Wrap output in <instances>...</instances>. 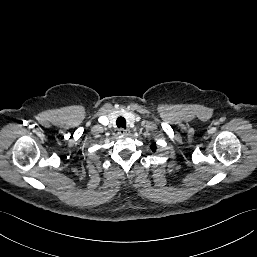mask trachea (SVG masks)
Listing matches in <instances>:
<instances>
[{"mask_svg":"<svg viewBox=\"0 0 257 257\" xmlns=\"http://www.w3.org/2000/svg\"><path fill=\"white\" fill-rule=\"evenodd\" d=\"M116 125L118 128H126V120L123 117H118L116 121Z\"/></svg>","mask_w":257,"mask_h":257,"instance_id":"trachea-1","label":"trachea"}]
</instances>
